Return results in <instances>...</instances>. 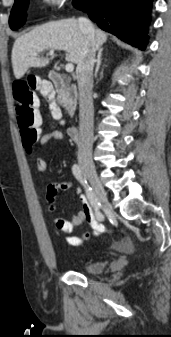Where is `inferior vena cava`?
Here are the masks:
<instances>
[{
  "label": "inferior vena cava",
  "mask_w": 171,
  "mask_h": 337,
  "mask_svg": "<svg viewBox=\"0 0 171 337\" xmlns=\"http://www.w3.org/2000/svg\"><path fill=\"white\" fill-rule=\"evenodd\" d=\"M79 27L85 34L80 61L76 68L79 89V163L92 164L93 124L94 108L92 100L93 66L95 62L96 48L94 45L95 29L87 18L78 19Z\"/></svg>",
  "instance_id": "obj_1"
}]
</instances>
